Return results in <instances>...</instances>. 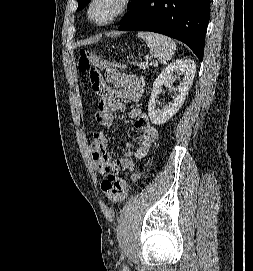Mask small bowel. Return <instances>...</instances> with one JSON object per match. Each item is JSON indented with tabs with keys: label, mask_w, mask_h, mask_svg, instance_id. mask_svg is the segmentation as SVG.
I'll return each instance as SVG.
<instances>
[{
	"label": "small bowel",
	"mask_w": 253,
	"mask_h": 271,
	"mask_svg": "<svg viewBox=\"0 0 253 271\" xmlns=\"http://www.w3.org/2000/svg\"><path fill=\"white\" fill-rule=\"evenodd\" d=\"M104 82L99 73L101 90L95 111V120L105 128L113 124L114 115L126 111V101H138L143 89L144 80L137 75H126L115 68L106 69ZM128 117L134 120V126L139 131L135 142H127L125 151L128 156H121L112 160L107 151V138L103 131H96L89 146L90 154L96 164L98 172L107 178L118 176L121 172L132 171L135 162L141 160L148 153L152 143L158 137L157 129L150 123L146 113L139 108L129 111Z\"/></svg>",
	"instance_id": "obj_1"
}]
</instances>
